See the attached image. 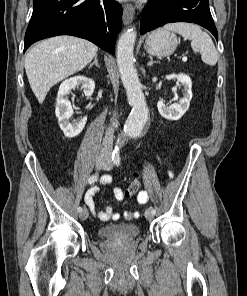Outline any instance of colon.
<instances>
[{"label": "colon", "mask_w": 247, "mask_h": 296, "mask_svg": "<svg viewBox=\"0 0 247 296\" xmlns=\"http://www.w3.org/2000/svg\"><path fill=\"white\" fill-rule=\"evenodd\" d=\"M141 179H142V174L137 173V175L134 177L133 181L131 182V184L129 185V187L125 192L126 197H132L139 191L141 186Z\"/></svg>", "instance_id": "1"}]
</instances>
